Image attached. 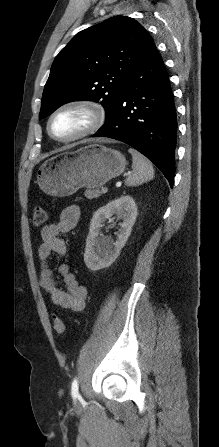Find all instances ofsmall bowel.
Instances as JSON below:
<instances>
[{"instance_id": "c3829d8e", "label": "small bowel", "mask_w": 219, "mask_h": 447, "mask_svg": "<svg viewBox=\"0 0 219 447\" xmlns=\"http://www.w3.org/2000/svg\"><path fill=\"white\" fill-rule=\"evenodd\" d=\"M80 217V209L77 205L65 207L57 221L45 225L41 229V243L38 254L41 262L39 284L50 296L54 305L73 312H82L86 307L87 288L80 284L69 271V267L62 264L58 268L65 284V289L57 286L54 271L48 264L49 257L55 253L65 255L67 246L60 237L61 234L74 229Z\"/></svg>"}]
</instances>
